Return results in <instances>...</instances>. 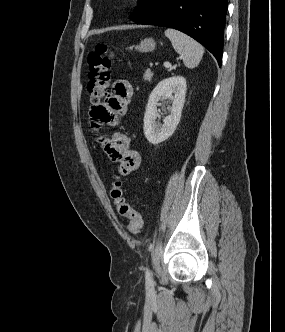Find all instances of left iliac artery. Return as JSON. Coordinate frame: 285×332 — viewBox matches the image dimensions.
<instances>
[{"mask_svg": "<svg viewBox=\"0 0 285 332\" xmlns=\"http://www.w3.org/2000/svg\"><path fill=\"white\" fill-rule=\"evenodd\" d=\"M145 278L147 283H152L151 273L148 267L145 268Z\"/></svg>", "mask_w": 285, "mask_h": 332, "instance_id": "obj_1", "label": "left iliac artery"}]
</instances>
